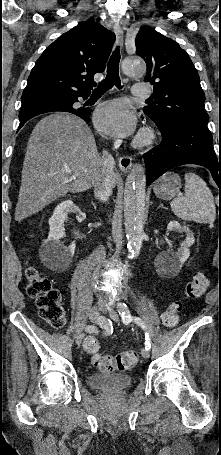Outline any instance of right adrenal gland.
I'll return each instance as SVG.
<instances>
[{
  "instance_id": "right-adrenal-gland-1",
  "label": "right adrenal gland",
  "mask_w": 221,
  "mask_h": 455,
  "mask_svg": "<svg viewBox=\"0 0 221 455\" xmlns=\"http://www.w3.org/2000/svg\"><path fill=\"white\" fill-rule=\"evenodd\" d=\"M92 205H93V206H94V208L96 209V205H95V203H94L93 201H92Z\"/></svg>"
}]
</instances>
